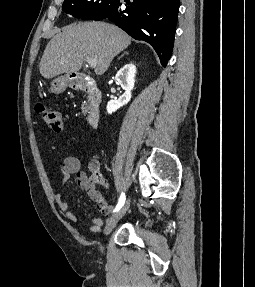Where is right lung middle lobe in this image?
I'll return each instance as SVG.
<instances>
[{
    "instance_id": "right-lung-middle-lobe-1",
    "label": "right lung middle lobe",
    "mask_w": 255,
    "mask_h": 287,
    "mask_svg": "<svg viewBox=\"0 0 255 287\" xmlns=\"http://www.w3.org/2000/svg\"><path fill=\"white\" fill-rule=\"evenodd\" d=\"M119 4L120 0H64L62 10L83 20H102Z\"/></svg>"
}]
</instances>
